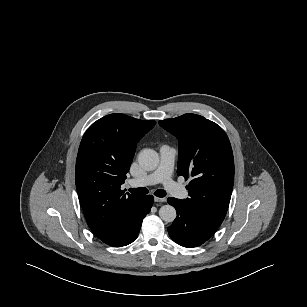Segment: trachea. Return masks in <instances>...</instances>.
<instances>
[{"instance_id":"1","label":"trachea","mask_w":307,"mask_h":307,"mask_svg":"<svg viewBox=\"0 0 307 307\" xmlns=\"http://www.w3.org/2000/svg\"><path fill=\"white\" fill-rule=\"evenodd\" d=\"M129 191L133 194H139V195H143V194H147L148 193V189L144 188V187H140V188H130ZM166 191L163 189H158L155 191L154 195L160 198H163L166 196Z\"/></svg>"}]
</instances>
